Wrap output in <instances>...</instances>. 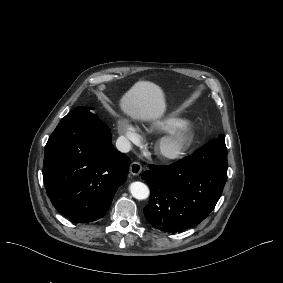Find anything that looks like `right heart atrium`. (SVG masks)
<instances>
[{
  "instance_id": "obj_1",
  "label": "right heart atrium",
  "mask_w": 283,
  "mask_h": 283,
  "mask_svg": "<svg viewBox=\"0 0 283 283\" xmlns=\"http://www.w3.org/2000/svg\"><path fill=\"white\" fill-rule=\"evenodd\" d=\"M116 130L119 139L129 144H140L141 134L139 126L131 122L128 118L119 116L116 121Z\"/></svg>"
}]
</instances>
